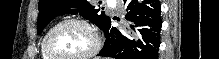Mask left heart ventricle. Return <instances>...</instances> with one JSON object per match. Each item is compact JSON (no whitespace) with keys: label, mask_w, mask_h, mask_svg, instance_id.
<instances>
[{"label":"left heart ventricle","mask_w":219,"mask_h":59,"mask_svg":"<svg viewBox=\"0 0 219 59\" xmlns=\"http://www.w3.org/2000/svg\"><path fill=\"white\" fill-rule=\"evenodd\" d=\"M93 44L90 33L79 24L58 28L50 38L52 51L59 56H77L88 51Z\"/></svg>","instance_id":"1"}]
</instances>
